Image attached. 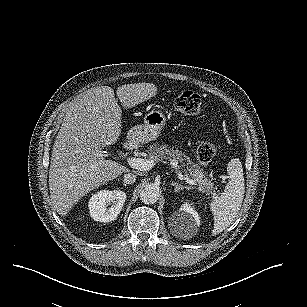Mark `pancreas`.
<instances>
[{"mask_svg":"<svg viewBox=\"0 0 307 307\" xmlns=\"http://www.w3.org/2000/svg\"><path fill=\"white\" fill-rule=\"evenodd\" d=\"M145 151L149 157H157L160 161L167 160L171 167L175 169L174 162L178 163L177 169H179L184 175L194 180V185L198 187L200 191H204L206 195L212 193L214 189L213 178L207 177L206 173L198 164L182 163L185 159V155L178 149L169 148L168 145L159 146L157 142L146 146Z\"/></svg>","mask_w":307,"mask_h":307,"instance_id":"1","label":"pancreas"}]
</instances>
